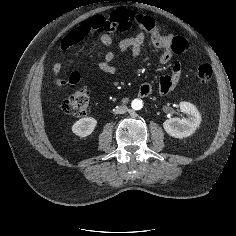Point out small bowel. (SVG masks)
<instances>
[{
    "instance_id": "c3829d8e",
    "label": "small bowel",
    "mask_w": 236,
    "mask_h": 236,
    "mask_svg": "<svg viewBox=\"0 0 236 236\" xmlns=\"http://www.w3.org/2000/svg\"><path fill=\"white\" fill-rule=\"evenodd\" d=\"M140 32L134 36L125 37L119 41L118 48L121 52L129 51L133 56H138L142 52L145 35L144 32L150 36L151 43L154 47L161 49L158 61L160 64L165 65L170 63L174 55H180L189 50V43L187 39L180 35H168L161 33L155 26L152 18L147 17L139 26ZM100 33V41L105 46H110L113 39L106 31H98ZM73 44L71 36H66L62 43V50L69 49ZM115 58V53L111 50L106 51L103 60L99 63V69L106 73L113 75L116 73V67L112 64ZM53 73L56 76L54 84L57 87H64L67 85L75 84L79 81L80 76L77 72L72 73L67 79H61L62 65L56 62L52 67ZM183 62L181 59L176 58L173 61L172 73L164 75L159 80L158 90L161 94H170L179 84L183 75ZM152 92V86L149 83H143L139 87L140 96H148Z\"/></svg>"
}]
</instances>
